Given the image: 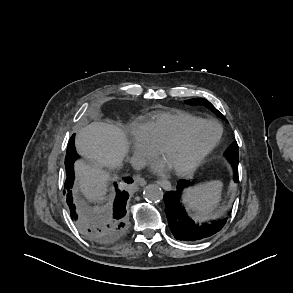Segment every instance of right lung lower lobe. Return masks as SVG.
Masks as SVG:
<instances>
[{
  "instance_id": "1",
  "label": "right lung lower lobe",
  "mask_w": 293,
  "mask_h": 293,
  "mask_svg": "<svg viewBox=\"0 0 293 293\" xmlns=\"http://www.w3.org/2000/svg\"><path fill=\"white\" fill-rule=\"evenodd\" d=\"M74 141L75 134H73L69 140L65 158L67 178L65 181L64 193H66V200L71 212V217L73 220L77 221L79 229L92 241L101 244L115 243L122 239L127 231L128 225L125 216V208L129 194L125 190L120 191L117 183H115L116 197L112 213L104 215V213L101 212L85 211L78 214L73 203L72 191L70 190L74 182L73 165L74 161L78 158ZM123 179L128 184L133 182L129 177Z\"/></svg>"
}]
</instances>
